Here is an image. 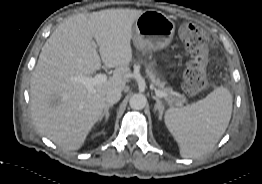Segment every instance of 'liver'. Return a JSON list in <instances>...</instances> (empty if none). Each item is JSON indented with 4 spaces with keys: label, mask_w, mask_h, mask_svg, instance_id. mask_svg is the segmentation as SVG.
I'll return each instance as SVG.
<instances>
[{
    "label": "liver",
    "mask_w": 262,
    "mask_h": 184,
    "mask_svg": "<svg viewBox=\"0 0 262 184\" xmlns=\"http://www.w3.org/2000/svg\"><path fill=\"white\" fill-rule=\"evenodd\" d=\"M136 9H106L64 20L48 38L33 71L31 114L39 132L69 151L82 147L106 106V94L124 90L133 52ZM99 47L96 51L95 42ZM113 75L89 92L75 76H90L101 68Z\"/></svg>",
    "instance_id": "liver-1"
}]
</instances>
